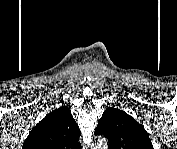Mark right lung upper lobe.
Instances as JSON below:
<instances>
[{
    "mask_svg": "<svg viewBox=\"0 0 177 149\" xmlns=\"http://www.w3.org/2000/svg\"><path fill=\"white\" fill-rule=\"evenodd\" d=\"M81 132L67 106L50 112L30 132L25 149H79Z\"/></svg>",
    "mask_w": 177,
    "mask_h": 149,
    "instance_id": "right-lung-upper-lobe-1",
    "label": "right lung upper lobe"
}]
</instances>
